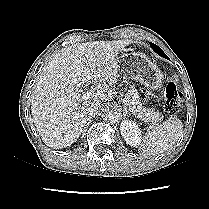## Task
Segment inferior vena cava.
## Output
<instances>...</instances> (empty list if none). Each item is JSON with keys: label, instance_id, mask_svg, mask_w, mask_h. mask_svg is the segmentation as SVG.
Wrapping results in <instances>:
<instances>
[{"label": "inferior vena cava", "instance_id": "1", "mask_svg": "<svg viewBox=\"0 0 209 209\" xmlns=\"http://www.w3.org/2000/svg\"><path fill=\"white\" fill-rule=\"evenodd\" d=\"M100 108H101V103L98 101H94V102H91L87 106L86 112H87V114H89L91 116H95L98 113Z\"/></svg>", "mask_w": 209, "mask_h": 209}]
</instances>
